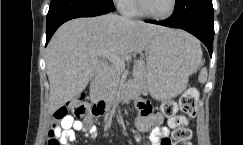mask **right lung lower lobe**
<instances>
[{"instance_id":"98d812e1","label":"right lung lower lobe","mask_w":243,"mask_h":145,"mask_svg":"<svg viewBox=\"0 0 243 145\" xmlns=\"http://www.w3.org/2000/svg\"><path fill=\"white\" fill-rule=\"evenodd\" d=\"M114 9L112 0H51L47 14L46 45L64 22L78 17L103 15Z\"/></svg>"}]
</instances>
